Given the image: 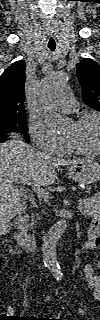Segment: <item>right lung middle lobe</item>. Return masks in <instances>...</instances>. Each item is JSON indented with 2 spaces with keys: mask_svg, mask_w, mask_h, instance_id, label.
<instances>
[{
  "mask_svg": "<svg viewBox=\"0 0 100 320\" xmlns=\"http://www.w3.org/2000/svg\"><path fill=\"white\" fill-rule=\"evenodd\" d=\"M12 132L23 134L26 141H30L25 116L0 120V135L3 137L1 141H6V134Z\"/></svg>",
  "mask_w": 100,
  "mask_h": 320,
  "instance_id": "right-lung-middle-lobe-1",
  "label": "right lung middle lobe"
}]
</instances>
